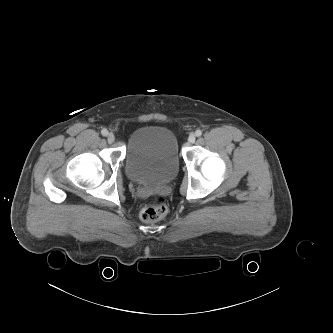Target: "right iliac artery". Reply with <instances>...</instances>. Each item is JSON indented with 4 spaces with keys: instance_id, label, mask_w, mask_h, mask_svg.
<instances>
[{
    "instance_id": "right-iliac-artery-1",
    "label": "right iliac artery",
    "mask_w": 333,
    "mask_h": 333,
    "mask_svg": "<svg viewBox=\"0 0 333 333\" xmlns=\"http://www.w3.org/2000/svg\"><path fill=\"white\" fill-rule=\"evenodd\" d=\"M101 134H102L103 136H107V135H108V130H107V129H103V130L101 131Z\"/></svg>"
}]
</instances>
